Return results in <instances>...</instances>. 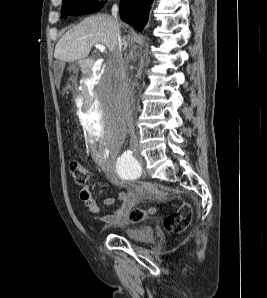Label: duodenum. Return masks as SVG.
I'll return each mask as SVG.
<instances>
[{"label":"duodenum","mask_w":267,"mask_h":298,"mask_svg":"<svg viewBox=\"0 0 267 298\" xmlns=\"http://www.w3.org/2000/svg\"><path fill=\"white\" fill-rule=\"evenodd\" d=\"M101 63L93 59H84L80 62L81 76H87L88 79H97V67ZM96 88L93 80H88L81 89L82 99L80 105H83L82 115H91L92 105H94L93 89Z\"/></svg>","instance_id":"duodenum-1"}]
</instances>
